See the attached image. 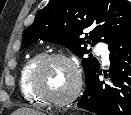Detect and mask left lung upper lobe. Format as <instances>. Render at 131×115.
<instances>
[{
    "instance_id": "1",
    "label": "left lung upper lobe",
    "mask_w": 131,
    "mask_h": 115,
    "mask_svg": "<svg viewBox=\"0 0 131 115\" xmlns=\"http://www.w3.org/2000/svg\"><path fill=\"white\" fill-rule=\"evenodd\" d=\"M130 25L131 11L125 0H50L24 31L22 43L29 46L43 40L67 46L82 58L87 82L100 68L96 58H83L90 52L88 44L110 45ZM84 29L91 31L82 37Z\"/></svg>"
}]
</instances>
